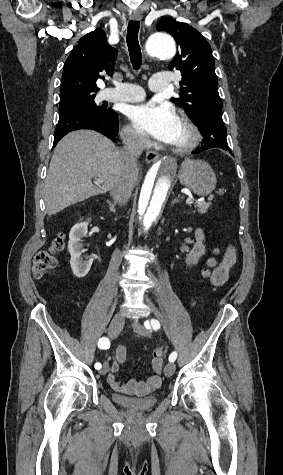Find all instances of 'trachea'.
Returning <instances> with one entry per match:
<instances>
[{"mask_svg": "<svg viewBox=\"0 0 283 475\" xmlns=\"http://www.w3.org/2000/svg\"><path fill=\"white\" fill-rule=\"evenodd\" d=\"M139 28V21L130 20L126 36L130 60L135 70H138L142 64V53L138 41Z\"/></svg>", "mask_w": 283, "mask_h": 475, "instance_id": "3493384b", "label": "trachea"}]
</instances>
